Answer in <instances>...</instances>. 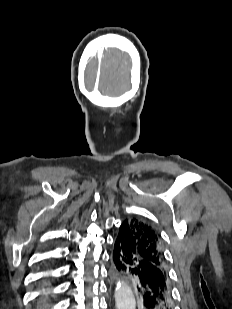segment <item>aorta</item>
Masks as SVG:
<instances>
[{
  "mask_svg": "<svg viewBox=\"0 0 232 309\" xmlns=\"http://www.w3.org/2000/svg\"><path fill=\"white\" fill-rule=\"evenodd\" d=\"M116 309H136V301L131 288L119 283L115 289Z\"/></svg>",
  "mask_w": 232,
  "mask_h": 309,
  "instance_id": "762f6f07",
  "label": "aorta"
}]
</instances>
